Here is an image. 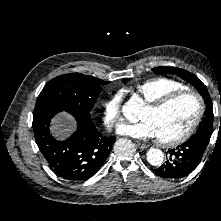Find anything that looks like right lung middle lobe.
<instances>
[{
    "instance_id": "1",
    "label": "right lung middle lobe",
    "mask_w": 221,
    "mask_h": 221,
    "mask_svg": "<svg viewBox=\"0 0 221 221\" xmlns=\"http://www.w3.org/2000/svg\"><path fill=\"white\" fill-rule=\"evenodd\" d=\"M108 83L80 73L60 75L44 86L36 104H50L61 111L91 120L90 111L101 92V86Z\"/></svg>"
}]
</instances>
